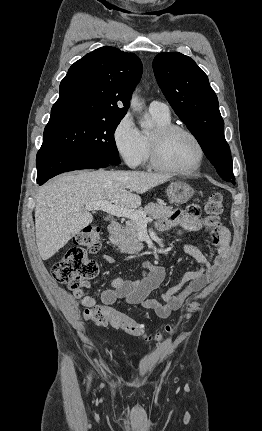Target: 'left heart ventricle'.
I'll return each instance as SVG.
<instances>
[{
  "label": "left heart ventricle",
  "mask_w": 262,
  "mask_h": 431,
  "mask_svg": "<svg viewBox=\"0 0 262 431\" xmlns=\"http://www.w3.org/2000/svg\"><path fill=\"white\" fill-rule=\"evenodd\" d=\"M166 164L180 169H191L197 162L198 150L194 141L184 133L167 137L162 145Z\"/></svg>",
  "instance_id": "left-heart-ventricle-1"
}]
</instances>
